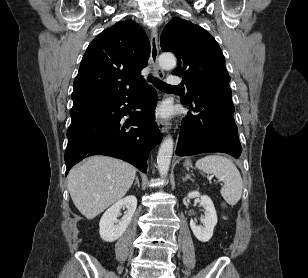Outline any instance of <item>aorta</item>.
Listing matches in <instances>:
<instances>
[{
    "mask_svg": "<svg viewBox=\"0 0 308 278\" xmlns=\"http://www.w3.org/2000/svg\"><path fill=\"white\" fill-rule=\"evenodd\" d=\"M159 65L163 69H173L176 66V58L172 53H162L159 56ZM173 154V139L165 137L157 155V168L161 177H166L169 171Z\"/></svg>",
    "mask_w": 308,
    "mask_h": 278,
    "instance_id": "762f6f07",
    "label": "aorta"
}]
</instances>
